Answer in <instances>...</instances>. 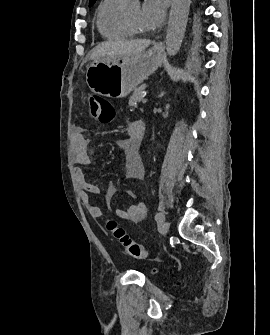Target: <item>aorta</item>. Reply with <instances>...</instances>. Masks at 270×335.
Segmentation results:
<instances>
[{
	"label": "aorta",
	"instance_id": "1",
	"mask_svg": "<svg viewBox=\"0 0 270 335\" xmlns=\"http://www.w3.org/2000/svg\"><path fill=\"white\" fill-rule=\"evenodd\" d=\"M190 4V0H173L172 2L166 34V50L169 56H175L181 48Z\"/></svg>",
	"mask_w": 270,
	"mask_h": 335
}]
</instances>
